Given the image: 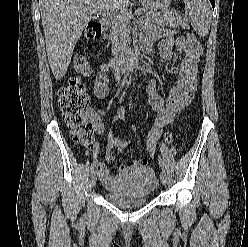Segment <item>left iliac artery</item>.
<instances>
[{"instance_id":"1","label":"left iliac artery","mask_w":248,"mask_h":247,"mask_svg":"<svg viewBox=\"0 0 248 247\" xmlns=\"http://www.w3.org/2000/svg\"><path fill=\"white\" fill-rule=\"evenodd\" d=\"M159 165L162 168V170H165L163 161L159 158Z\"/></svg>"}]
</instances>
